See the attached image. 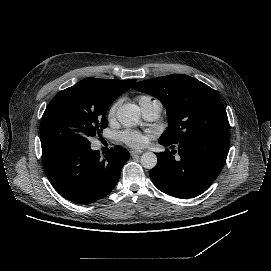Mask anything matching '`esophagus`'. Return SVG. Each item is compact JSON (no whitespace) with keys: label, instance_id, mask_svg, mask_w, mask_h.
<instances>
[{"label":"esophagus","instance_id":"obj_1","mask_svg":"<svg viewBox=\"0 0 271 271\" xmlns=\"http://www.w3.org/2000/svg\"><path fill=\"white\" fill-rule=\"evenodd\" d=\"M143 151L142 150H131L130 151V155L133 156V155H140L142 154Z\"/></svg>","mask_w":271,"mask_h":271}]
</instances>
